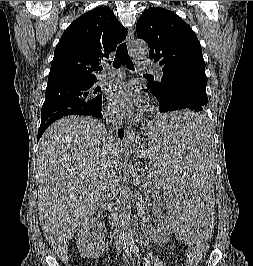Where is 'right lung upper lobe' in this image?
<instances>
[{"label": "right lung upper lobe", "mask_w": 253, "mask_h": 266, "mask_svg": "<svg viewBox=\"0 0 253 266\" xmlns=\"http://www.w3.org/2000/svg\"><path fill=\"white\" fill-rule=\"evenodd\" d=\"M126 34L109 8L98 7L80 16L65 30L55 48L47 89L97 81L101 61Z\"/></svg>", "instance_id": "obj_1"}]
</instances>
